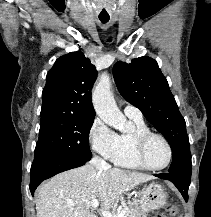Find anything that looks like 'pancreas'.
<instances>
[{
	"mask_svg": "<svg viewBox=\"0 0 211 217\" xmlns=\"http://www.w3.org/2000/svg\"><path fill=\"white\" fill-rule=\"evenodd\" d=\"M125 208H127V212L124 217H140L139 200L134 199Z\"/></svg>",
	"mask_w": 211,
	"mask_h": 217,
	"instance_id": "obj_1",
	"label": "pancreas"
}]
</instances>
